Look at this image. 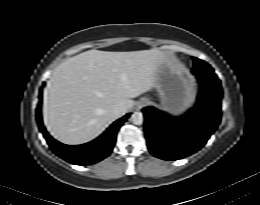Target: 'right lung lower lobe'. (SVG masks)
Masks as SVG:
<instances>
[{
    "label": "right lung lower lobe",
    "mask_w": 260,
    "mask_h": 205,
    "mask_svg": "<svg viewBox=\"0 0 260 205\" xmlns=\"http://www.w3.org/2000/svg\"><path fill=\"white\" fill-rule=\"evenodd\" d=\"M39 97L41 100L42 88L40 89ZM129 116L130 114H127L114 122L101 136L91 142L83 145L69 146L59 143L48 134L42 123L40 105L36 109L39 129L51 150L60 158L76 165H90L109 156L115 144L117 131Z\"/></svg>",
    "instance_id": "right-lung-lower-lobe-1"
}]
</instances>
